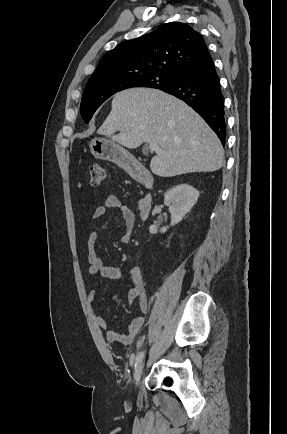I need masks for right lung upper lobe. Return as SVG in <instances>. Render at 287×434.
<instances>
[{
    "instance_id": "cb5924a9",
    "label": "right lung upper lobe",
    "mask_w": 287,
    "mask_h": 434,
    "mask_svg": "<svg viewBox=\"0 0 287 434\" xmlns=\"http://www.w3.org/2000/svg\"><path fill=\"white\" fill-rule=\"evenodd\" d=\"M208 55L206 43L199 32L188 24L170 22L108 51L88 82L144 74L177 76Z\"/></svg>"
}]
</instances>
